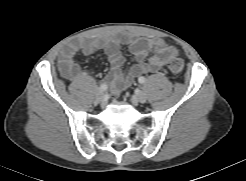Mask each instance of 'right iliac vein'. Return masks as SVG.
Returning a JSON list of instances; mask_svg holds the SVG:
<instances>
[{"label": "right iliac vein", "instance_id": "right-iliac-vein-1", "mask_svg": "<svg viewBox=\"0 0 246 181\" xmlns=\"http://www.w3.org/2000/svg\"><path fill=\"white\" fill-rule=\"evenodd\" d=\"M95 95L97 100H101L104 97V92L100 89H97Z\"/></svg>", "mask_w": 246, "mask_h": 181}]
</instances>
